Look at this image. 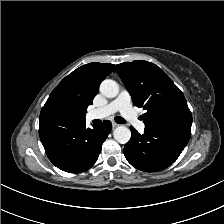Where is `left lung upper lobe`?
<instances>
[{"label":"left lung upper lobe","instance_id":"obj_1","mask_svg":"<svg viewBox=\"0 0 224 224\" xmlns=\"http://www.w3.org/2000/svg\"><path fill=\"white\" fill-rule=\"evenodd\" d=\"M135 106L146 110V127L191 135L192 115L181 90L157 65L137 60L116 65Z\"/></svg>","mask_w":224,"mask_h":224}]
</instances>
